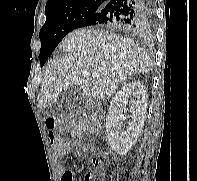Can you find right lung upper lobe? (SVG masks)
Masks as SVG:
<instances>
[{
  "label": "right lung upper lobe",
  "mask_w": 197,
  "mask_h": 181,
  "mask_svg": "<svg viewBox=\"0 0 197 181\" xmlns=\"http://www.w3.org/2000/svg\"><path fill=\"white\" fill-rule=\"evenodd\" d=\"M109 0H48L45 7L46 16L64 12L83 5L97 4L103 6Z\"/></svg>",
  "instance_id": "1"
}]
</instances>
